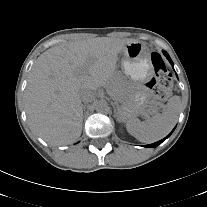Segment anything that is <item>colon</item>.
I'll use <instances>...</instances> for the list:
<instances>
[{"mask_svg": "<svg viewBox=\"0 0 207 207\" xmlns=\"http://www.w3.org/2000/svg\"><path fill=\"white\" fill-rule=\"evenodd\" d=\"M150 60L154 68V77L149 81L148 86L152 90L155 100L164 102L171 93V73L159 53L153 52Z\"/></svg>", "mask_w": 207, "mask_h": 207, "instance_id": "1", "label": "colon"}]
</instances>
